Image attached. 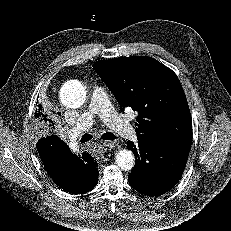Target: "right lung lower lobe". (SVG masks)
I'll return each instance as SVG.
<instances>
[{
    "label": "right lung lower lobe",
    "instance_id": "right-lung-lower-lobe-1",
    "mask_svg": "<svg viewBox=\"0 0 231 231\" xmlns=\"http://www.w3.org/2000/svg\"><path fill=\"white\" fill-rule=\"evenodd\" d=\"M36 148L51 178L65 191L83 194L97 184L98 164L89 153L73 154L56 135L41 138Z\"/></svg>",
    "mask_w": 231,
    "mask_h": 231
}]
</instances>
